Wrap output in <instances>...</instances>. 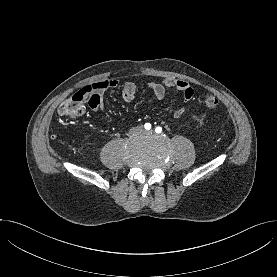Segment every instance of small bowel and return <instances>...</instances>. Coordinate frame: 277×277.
Returning a JSON list of instances; mask_svg holds the SVG:
<instances>
[{
    "mask_svg": "<svg viewBox=\"0 0 277 277\" xmlns=\"http://www.w3.org/2000/svg\"><path fill=\"white\" fill-rule=\"evenodd\" d=\"M119 82L115 79H107L93 83L92 85L84 88L90 95L94 96L95 99L91 102L90 107L94 111H101L104 108L103 95L104 93L113 88H117ZM122 98L126 102H131L137 92V87L133 82H125L122 86ZM146 87L153 93L157 100H162L166 93L172 89H175L182 93L185 101L192 99L194 91L191 85L178 79H163L158 82H148ZM184 113V108L179 107L173 112V118L178 119Z\"/></svg>",
    "mask_w": 277,
    "mask_h": 277,
    "instance_id": "1",
    "label": "small bowel"
}]
</instances>
